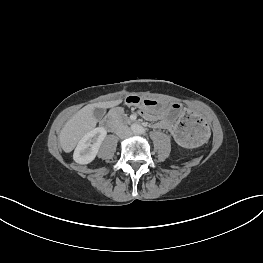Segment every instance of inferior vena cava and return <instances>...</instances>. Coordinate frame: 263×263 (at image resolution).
Instances as JSON below:
<instances>
[{
	"label": "inferior vena cava",
	"mask_w": 263,
	"mask_h": 263,
	"mask_svg": "<svg viewBox=\"0 0 263 263\" xmlns=\"http://www.w3.org/2000/svg\"><path fill=\"white\" fill-rule=\"evenodd\" d=\"M116 134L119 137L124 138L131 135V130L127 125H121L116 129Z\"/></svg>",
	"instance_id": "1"
}]
</instances>
